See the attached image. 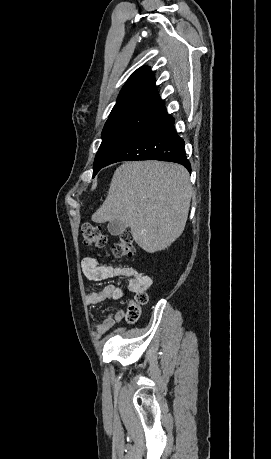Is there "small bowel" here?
<instances>
[{"label":"small bowel","instance_id":"1","mask_svg":"<svg viewBox=\"0 0 271 459\" xmlns=\"http://www.w3.org/2000/svg\"><path fill=\"white\" fill-rule=\"evenodd\" d=\"M84 275L90 281H102L107 279L128 278L127 290L138 293L145 291L150 286V278L136 269L128 266H103L93 255L87 256L81 263ZM125 290L115 285L109 284L101 289H91L86 295L88 305H96L111 300H118L124 296ZM123 309L109 315L102 323L94 329L95 337H101L124 318Z\"/></svg>","mask_w":271,"mask_h":459}]
</instances>
